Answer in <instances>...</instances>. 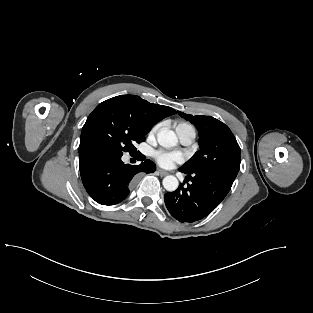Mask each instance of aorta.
<instances>
[{"label":"aorta","instance_id":"762f6f07","mask_svg":"<svg viewBox=\"0 0 313 313\" xmlns=\"http://www.w3.org/2000/svg\"><path fill=\"white\" fill-rule=\"evenodd\" d=\"M157 141L162 147L171 148L177 145L178 138L173 131L161 130L157 134ZM162 183L169 192L175 191L179 186L178 179L173 175L166 176Z\"/></svg>","mask_w":313,"mask_h":313}]
</instances>
